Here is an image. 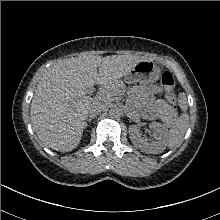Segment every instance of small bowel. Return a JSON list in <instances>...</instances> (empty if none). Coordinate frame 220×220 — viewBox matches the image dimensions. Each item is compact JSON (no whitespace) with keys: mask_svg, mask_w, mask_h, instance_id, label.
<instances>
[{"mask_svg":"<svg viewBox=\"0 0 220 220\" xmlns=\"http://www.w3.org/2000/svg\"><path fill=\"white\" fill-rule=\"evenodd\" d=\"M143 91L145 92L146 95L151 96V95L158 93L160 89L158 86L153 85V86L144 88Z\"/></svg>","mask_w":220,"mask_h":220,"instance_id":"small-bowel-1","label":"small bowel"}]
</instances>
